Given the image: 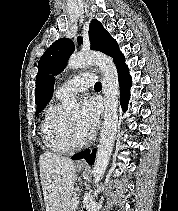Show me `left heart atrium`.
Returning <instances> with one entry per match:
<instances>
[{"label": "left heart atrium", "mask_w": 178, "mask_h": 211, "mask_svg": "<svg viewBox=\"0 0 178 211\" xmlns=\"http://www.w3.org/2000/svg\"><path fill=\"white\" fill-rule=\"evenodd\" d=\"M100 109L93 98H86L81 104V115L78 119L79 128L89 136L97 126Z\"/></svg>", "instance_id": "left-heart-atrium-1"}]
</instances>
